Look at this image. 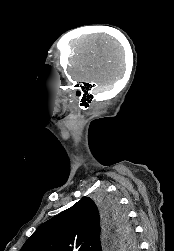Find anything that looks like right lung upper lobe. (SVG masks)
<instances>
[{
  "instance_id": "right-lung-upper-lobe-1",
  "label": "right lung upper lobe",
  "mask_w": 174,
  "mask_h": 251,
  "mask_svg": "<svg viewBox=\"0 0 174 251\" xmlns=\"http://www.w3.org/2000/svg\"><path fill=\"white\" fill-rule=\"evenodd\" d=\"M104 217L89 197L40 225L20 251H101L120 245L110 241L102 247Z\"/></svg>"
}]
</instances>
